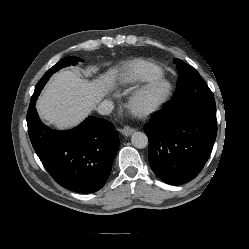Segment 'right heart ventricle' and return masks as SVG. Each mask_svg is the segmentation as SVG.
Segmentation results:
<instances>
[{
  "instance_id": "1",
  "label": "right heart ventricle",
  "mask_w": 249,
  "mask_h": 249,
  "mask_svg": "<svg viewBox=\"0 0 249 249\" xmlns=\"http://www.w3.org/2000/svg\"><path fill=\"white\" fill-rule=\"evenodd\" d=\"M161 68L146 60H135L128 64L119 77L122 86H129L140 82H147L153 78L161 77Z\"/></svg>"
}]
</instances>
